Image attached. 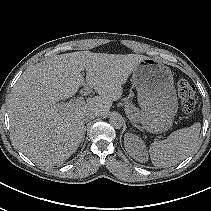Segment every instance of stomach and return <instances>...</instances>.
I'll return each mask as SVG.
<instances>
[{
  "instance_id": "0dacf381",
  "label": "stomach",
  "mask_w": 211,
  "mask_h": 211,
  "mask_svg": "<svg viewBox=\"0 0 211 211\" xmlns=\"http://www.w3.org/2000/svg\"><path fill=\"white\" fill-rule=\"evenodd\" d=\"M132 82L142 109V129L155 134L170 129L178 110L171 69L156 58L145 57L133 70Z\"/></svg>"
}]
</instances>
